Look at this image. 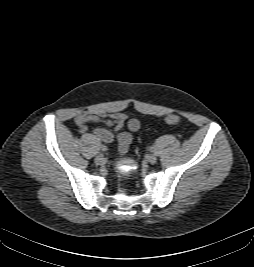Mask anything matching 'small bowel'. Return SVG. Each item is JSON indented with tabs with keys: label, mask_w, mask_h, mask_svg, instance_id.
<instances>
[{
	"label": "small bowel",
	"mask_w": 254,
	"mask_h": 267,
	"mask_svg": "<svg viewBox=\"0 0 254 267\" xmlns=\"http://www.w3.org/2000/svg\"><path fill=\"white\" fill-rule=\"evenodd\" d=\"M93 123H104L109 127H113L116 131L121 130L125 124L129 131L121 132L117 136L118 141V152L121 155L127 153L130 144L133 140L132 133L137 132L141 123L137 118H129L125 113L117 112L109 115L94 113L89 111L80 112L75 117V123L81 133H85L88 130L87 124ZM94 135L104 143H111L114 140L113 133L105 128H96L93 131Z\"/></svg>",
	"instance_id": "1"
}]
</instances>
